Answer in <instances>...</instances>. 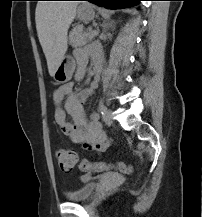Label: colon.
Here are the masks:
<instances>
[{"instance_id": "colon-1", "label": "colon", "mask_w": 202, "mask_h": 217, "mask_svg": "<svg viewBox=\"0 0 202 217\" xmlns=\"http://www.w3.org/2000/svg\"><path fill=\"white\" fill-rule=\"evenodd\" d=\"M55 157L59 165V168L65 172L71 171L77 162H79L81 170L91 173L104 172L110 169L111 167H116L124 173H130L132 171L131 166L125 162H118L113 166L104 162L92 163L86 159L79 160L77 152L70 148L57 149L55 152Z\"/></svg>"}]
</instances>
